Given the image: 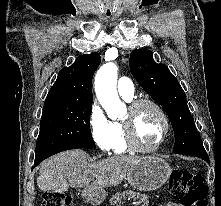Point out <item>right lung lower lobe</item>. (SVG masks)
<instances>
[{
  "label": "right lung lower lobe",
  "mask_w": 221,
  "mask_h": 206,
  "mask_svg": "<svg viewBox=\"0 0 221 206\" xmlns=\"http://www.w3.org/2000/svg\"><path fill=\"white\" fill-rule=\"evenodd\" d=\"M44 159H37V160H35V163H34V166H33V168L35 167V166H37L41 161H43Z\"/></svg>",
  "instance_id": "1"
}]
</instances>
